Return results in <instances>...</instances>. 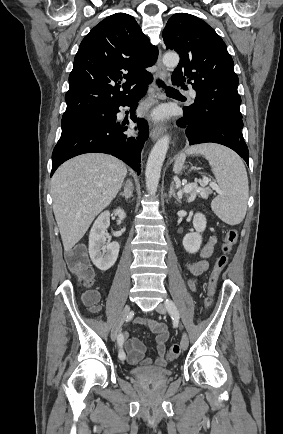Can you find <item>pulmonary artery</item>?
Instances as JSON below:
<instances>
[{"instance_id": "1", "label": "pulmonary artery", "mask_w": 283, "mask_h": 434, "mask_svg": "<svg viewBox=\"0 0 283 434\" xmlns=\"http://www.w3.org/2000/svg\"><path fill=\"white\" fill-rule=\"evenodd\" d=\"M188 93L192 98H194L196 96V92L193 89H190Z\"/></svg>"}]
</instances>
